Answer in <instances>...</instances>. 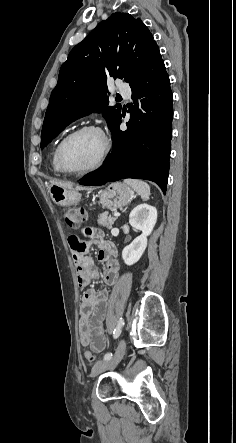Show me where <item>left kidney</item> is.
I'll use <instances>...</instances> for the list:
<instances>
[{"instance_id": "5707ae66", "label": "left kidney", "mask_w": 236, "mask_h": 443, "mask_svg": "<svg viewBox=\"0 0 236 443\" xmlns=\"http://www.w3.org/2000/svg\"><path fill=\"white\" fill-rule=\"evenodd\" d=\"M157 221V210L149 204L136 206L129 215V224L142 231L132 243L122 251V258L126 265H133L142 257L147 247V237L151 234Z\"/></svg>"}]
</instances>
